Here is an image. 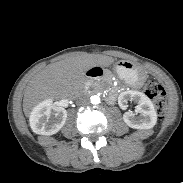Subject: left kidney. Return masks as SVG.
<instances>
[{"instance_id":"1","label":"left kidney","mask_w":183,"mask_h":183,"mask_svg":"<svg viewBox=\"0 0 183 183\" xmlns=\"http://www.w3.org/2000/svg\"><path fill=\"white\" fill-rule=\"evenodd\" d=\"M137 103L136 116L132 111L123 114L124 122L134 129H151L157 122V113L152 101L143 93L139 91H124L118 97V104L121 109L126 110L128 101Z\"/></svg>"}]
</instances>
